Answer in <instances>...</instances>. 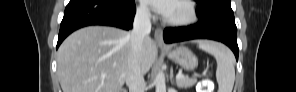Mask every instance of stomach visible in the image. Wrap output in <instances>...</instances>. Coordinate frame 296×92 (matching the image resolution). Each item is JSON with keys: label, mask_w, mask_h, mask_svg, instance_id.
I'll return each mask as SVG.
<instances>
[{"label": "stomach", "mask_w": 296, "mask_h": 92, "mask_svg": "<svg viewBox=\"0 0 296 92\" xmlns=\"http://www.w3.org/2000/svg\"><path fill=\"white\" fill-rule=\"evenodd\" d=\"M169 59L177 63L186 71H192L198 66V59L187 47L179 46L165 51Z\"/></svg>", "instance_id": "stomach-1"}]
</instances>
